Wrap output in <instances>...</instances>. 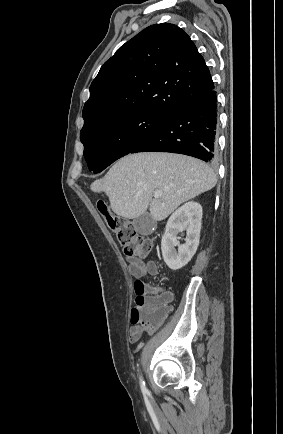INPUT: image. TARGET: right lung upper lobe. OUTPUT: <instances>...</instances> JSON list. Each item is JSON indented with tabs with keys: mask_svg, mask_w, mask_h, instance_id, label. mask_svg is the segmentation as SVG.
I'll use <instances>...</instances> for the list:
<instances>
[{
	"mask_svg": "<svg viewBox=\"0 0 283 434\" xmlns=\"http://www.w3.org/2000/svg\"><path fill=\"white\" fill-rule=\"evenodd\" d=\"M213 88L209 68L190 37L174 24H155L102 65L83 108L82 130L128 112L172 115Z\"/></svg>",
	"mask_w": 283,
	"mask_h": 434,
	"instance_id": "obj_1",
	"label": "right lung upper lobe"
}]
</instances>
